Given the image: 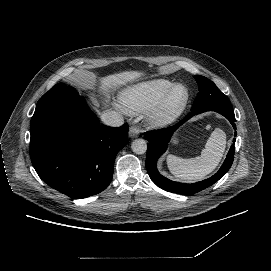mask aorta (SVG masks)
Here are the masks:
<instances>
[{"mask_svg": "<svg viewBox=\"0 0 271 271\" xmlns=\"http://www.w3.org/2000/svg\"><path fill=\"white\" fill-rule=\"evenodd\" d=\"M131 149L134 153L142 155L147 151V143L142 139H137L133 141Z\"/></svg>", "mask_w": 271, "mask_h": 271, "instance_id": "aorta-1", "label": "aorta"}]
</instances>
